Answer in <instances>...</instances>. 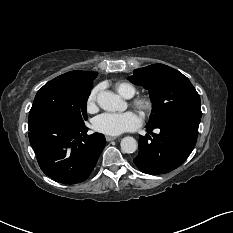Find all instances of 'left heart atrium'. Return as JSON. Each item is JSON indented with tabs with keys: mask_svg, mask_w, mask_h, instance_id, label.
Segmentation results:
<instances>
[{
	"mask_svg": "<svg viewBox=\"0 0 233 233\" xmlns=\"http://www.w3.org/2000/svg\"><path fill=\"white\" fill-rule=\"evenodd\" d=\"M140 124L141 119L139 116L130 111L125 113H104L93 120L94 130L112 136L133 131Z\"/></svg>",
	"mask_w": 233,
	"mask_h": 233,
	"instance_id": "obj_1",
	"label": "left heart atrium"
}]
</instances>
